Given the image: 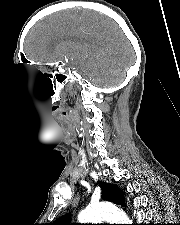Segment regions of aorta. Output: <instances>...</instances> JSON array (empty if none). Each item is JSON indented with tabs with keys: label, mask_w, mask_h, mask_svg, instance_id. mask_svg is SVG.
Masks as SVG:
<instances>
[{
	"label": "aorta",
	"mask_w": 180,
	"mask_h": 225,
	"mask_svg": "<svg viewBox=\"0 0 180 225\" xmlns=\"http://www.w3.org/2000/svg\"><path fill=\"white\" fill-rule=\"evenodd\" d=\"M81 223L98 224L101 221H107L110 224H131V220L113 204L100 203L97 205H88L78 215Z\"/></svg>",
	"instance_id": "762f6f07"
}]
</instances>
